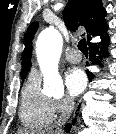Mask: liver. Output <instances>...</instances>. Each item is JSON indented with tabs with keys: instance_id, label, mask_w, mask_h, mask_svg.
Listing matches in <instances>:
<instances>
[{
	"instance_id": "6515ba94",
	"label": "liver",
	"mask_w": 116,
	"mask_h": 134,
	"mask_svg": "<svg viewBox=\"0 0 116 134\" xmlns=\"http://www.w3.org/2000/svg\"><path fill=\"white\" fill-rule=\"evenodd\" d=\"M18 134H34V133H29L28 131H20ZM40 134H54L52 130L47 131V133H45V131H42Z\"/></svg>"
}]
</instances>
